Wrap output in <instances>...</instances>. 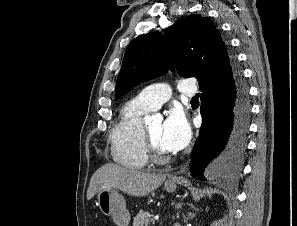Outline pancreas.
<instances>
[{
	"mask_svg": "<svg viewBox=\"0 0 297 226\" xmlns=\"http://www.w3.org/2000/svg\"><path fill=\"white\" fill-rule=\"evenodd\" d=\"M150 221H153L152 214H150L148 211L141 210L134 217L132 226H148Z\"/></svg>",
	"mask_w": 297,
	"mask_h": 226,
	"instance_id": "cf45deb5",
	"label": "pancreas"
}]
</instances>
